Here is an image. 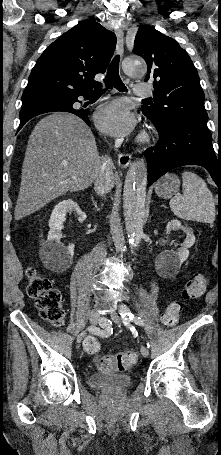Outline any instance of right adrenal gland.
<instances>
[{
    "label": "right adrenal gland",
    "instance_id": "1",
    "mask_svg": "<svg viewBox=\"0 0 221 455\" xmlns=\"http://www.w3.org/2000/svg\"><path fill=\"white\" fill-rule=\"evenodd\" d=\"M92 199V203L94 205V207L97 209V210H100V208L103 206V204H101L100 208L98 207V204H97V201L94 199V197L92 196L91 197Z\"/></svg>",
    "mask_w": 221,
    "mask_h": 455
}]
</instances>
